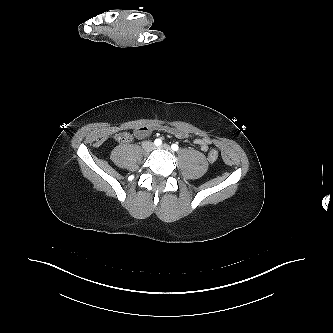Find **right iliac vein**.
Masks as SVG:
<instances>
[{
  "mask_svg": "<svg viewBox=\"0 0 333 333\" xmlns=\"http://www.w3.org/2000/svg\"><path fill=\"white\" fill-rule=\"evenodd\" d=\"M145 152L149 153L154 149V145L150 141H146L142 145Z\"/></svg>",
  "mask_w": 333,
  "mask_h": 333,
  "instance_id": "1",
  "label": "right iliac vein"
}]
</instances>
